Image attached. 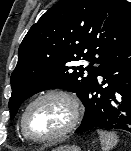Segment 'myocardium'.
Returning a JSON list of instances; mask_svg holds the SVG:
<instances>
[{
  "instance_id": "1",
  "label": "myocardium",
  "mask_w": 131,
  "mask_h": 151,
  "mask_svg": "<svg viewBox=\"0 0 131 151\" xmlns=\"http://www.w3.org/2000/svg\"><path fill=\"white\" fill-rule=\"evenodd\" d=\"M49 98H57L62 100L68 107L69 110V119L67 124L58 132L55 134H52L47 137H34L29 134L27 128H26V118L28 115V112L30 109L37 104L38 102L49 99ZM81 110H80V104L78 99L69 91L61 88H52L48 89L46 91H43L36 95L30 102L26 105L20 121L21 126V132L23 136L34 143H50L57 141L66 135H68L78 124L80 120Z\"/></svg>"
}]
</instances>
